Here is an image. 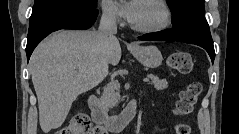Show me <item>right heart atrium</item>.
Listing matches in <instances>:
<instances>
[{"label":"right heart atrium","instance_id":"d8ad5b80","mask_svg":"<svg viewBox=\"0 0 239 134\" xmlns=\"http://www.w3.org/2000/svg\"><path fill=\"white\" fill-rule=\"evenodd\" d=\"M102 14L107 22L115 23L119 20V12L115 3L111 0L101 2Z\"/></svg>","mask_w":239,"mask_h":134}]
</instances>
